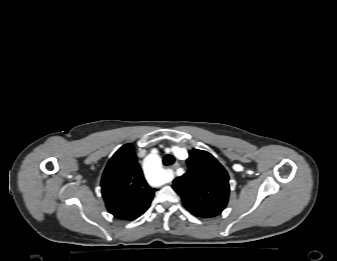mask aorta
I'll list each match as a JSON object with an SVG mask.
<instances>
[{"label": "aorta", "mask_w": 337, "mask_h": 261, "mask_svg": "<svg viewBox=\"0 0 337 261\" xmlns=\"http://www.w3.org/2000/svg\"><path fill=\"white\" fill-rule=\"evenodd\" d=\"M147 163L151 174H159L165 177V181H168L169 171L161 168V161L158 155L151 154L147 157Z\"/></svg>", "instance_id": "obj_1"}]
</instances>
